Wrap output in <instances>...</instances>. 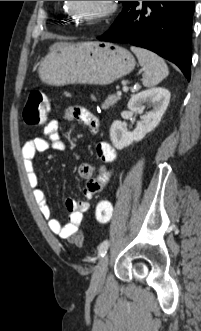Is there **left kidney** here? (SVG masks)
Here are the masks:
<instances>
[{"label": "left kidney", "mask_w": 201, "mask_h": 331, "mask_svg": "<svg viewBox=\"0 0 201 331\" xmlns=\"http://www.w3.org/2000/svg\"><path fill=\"white\" fill-rule=\"evenodd\" d=\"M169 100L170 92L165 88H152L133 95L127 105L131 112L142 114L146 105L153 109L142 116V120L132 132H129L121 121H114L110 129V139L114 147L121 150L134 141H141L159 124Z\"/></svg>", "instance_id": "left-kidney-1"}]
</instances>
